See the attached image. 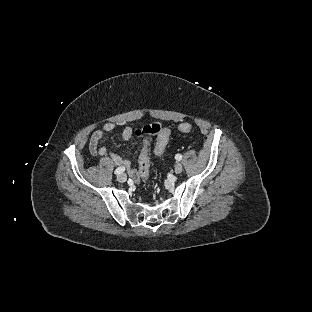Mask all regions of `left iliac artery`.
<instances>
[{"mask_svg":"<svg viewBox=\"0 0 312 312\" xmlns=\"http://www.w3.org/2000/svg\"><path fill=\"white\" fill-rule=\"evenodd\" d=\"M175 159L180 161L182 159V155L181 154H176Z\"/></svg>","mask_w":312,"mask_h":312,"instance_id":"1","label":"left iliac artery"}]
</instances>
